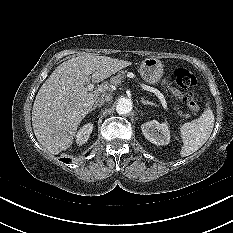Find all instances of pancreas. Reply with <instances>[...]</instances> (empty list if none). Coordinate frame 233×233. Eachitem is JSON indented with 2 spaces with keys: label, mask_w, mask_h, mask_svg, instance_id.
<instances>
[{
  "label": "pancreas",
  "mask_w": 233,
  "mask_h": 233,
  "mask_svg": "<svg viewBox=\"0 0 233 233\" xmlns=\"http://www.w3.org/2000/svg\"><path fill=\"white\" fill-rule=\"evenodd\" d=\"M125 74L126 73L124 71H122L121 73H118L116 76H113L110 79L111 84H113L115 86L120 85L121 82H122V80L124 79ZM175 109L179 110V108H175ZM177 113H178L179 116H182V117H185V118H189L190 117L189 114H183V112L181 110H179Z\"/></svg>",
  "instance_id": "1"
}]
</instances>
